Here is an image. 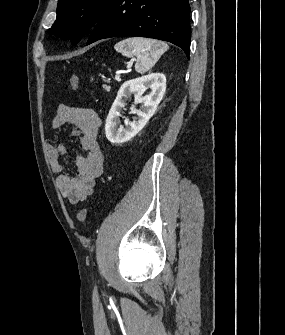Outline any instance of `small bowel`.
Here are the masks:
<instances>
[{
  "label": "small bowel",
  "instance_id": "c3829d8e",
  "mask_svg": "<svg viewBox=\"0 0 285 335\" xmlns=\"http://www.w3.org/2000/svg\"><path fill=\"white\" fill-rule=\"evenodd\" d=\"M52 128H72V135L80 140L84 154L75 158V174H69L61 158L66 154L64 144L50 145L47 149L50 166L57 173L56 183L62 196L70 203L85 200L94 191L96 180L104 171L105 157L98 143L101 119L92 108L60 104L52 120Z\"/></svg>",
  "mask_w": 285,
  "mask_h": 335
}]
</instances>
